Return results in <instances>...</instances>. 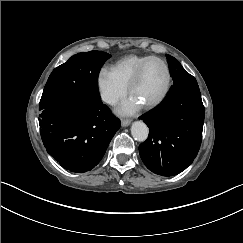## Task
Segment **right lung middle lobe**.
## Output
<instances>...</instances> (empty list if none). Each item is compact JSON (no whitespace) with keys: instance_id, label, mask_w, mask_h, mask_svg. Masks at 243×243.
<instances>
[{"instance_id":"dd1d6c3e","label":"right lung middle lobe","mask_w":243,"mask_h":243,"mask_svg":"<svg viewBox=\"0 0 243 243\" xmlns=\"http://www.w3.org/2000/svg\"><path fill=\"white\" fill-rule=\"evenodd\" d=\"M111 57L101 51L78 53L55 68L45 85L39 110L52 106L69 95L98 98V75L104 62Z\"/></svg>"}]
</instances>
